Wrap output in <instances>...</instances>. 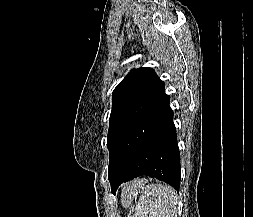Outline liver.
<instances>
[{
    "label": "liver",
    "mask_w": 253,
    "mask_h": 217,
    "mask_svg": "<svg viewBox=\"0 0 253 217\" xmlns=\"http://www.w3.org/2000/svg\"><path fill=\"white\" fill-rule=\"evenodd\" d=\"M142 185L141 180H133L132 182L125 184L122 189V199L124 196H131Z\"/></svg>",
    "instance_id": "obj_1"
}]
</instances>
